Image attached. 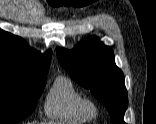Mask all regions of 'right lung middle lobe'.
<instances>
[{
  "instance_id": "obj_1",
  "label": "right lung middle lobe",
  "mask_w": 156,
  "mask_h": 124,
  "mask_svg": "<svg viewBox=\"0 0 156 124\" xmlns=\"http://www.w3.org/2000/svg\"><path fill=\"white\" fill-rule=\"evenodd\" d=\"M45 76L0 71V124L18 123L34 111L46 85Z\"/></svg>"
}]
</instances>
